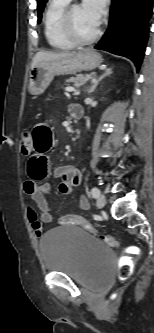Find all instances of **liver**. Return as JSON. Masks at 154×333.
<instances>
[{
    "instance_id": "obj_1",
    "label": "liver",
    "mask_w": 154,
    "mask_h": 333,
    "mask_svg": "<svg viewBox=\"0 0 154 333\" xmlns=\"http://www.w3.org/2000/svg\"><path fill=\"white\" fill-rule=\"evenodd\" d=\"M76 54H77L76 52L56 53L49 51H40L36 53V55L34 56L31 67L34 68L40 62L59 60L67 57H72Z\"/></svg>"
}]
</instances>
